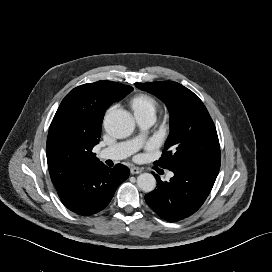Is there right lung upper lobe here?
<instances>
[{
	"label": "right lung upper lobe",
	"mask_w": 272,
	"mask_h": 272,
	"mask_svg": "<svg viewBox=\"0 0 272 272\" xmlns=\"http://www.w3.org/2000/svg\"><path fill=\"white\" fill-rule=\"evenodd\" d=\"M132 90L131 86L102 80L78 86L62 100L46 144L48 168L57 191L102 164L92 149L101 137L105 111Z\"/></svg>",
	"instance_id": "obj_1"
}]
</instances>
